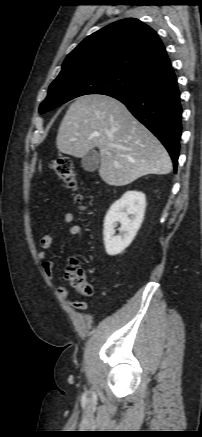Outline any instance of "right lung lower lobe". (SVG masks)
Wrapping results in <instances>:
<instances>
[{
	"mask_svg": "<svg viewBox=\"0 0 202 437\" xmlns=\"http://www.w3.org/2000/svg\"><path fill=\"white\" fill-rule=\"evenodd\" d=\"M121 101L165 146L177 170L182 106L174 70L169 67L135 92L112 96Z\"/></svg>",
	"mask_w": 202,
	"mask_h": 437,
	"instance_id": "98d812e1",
	"label": "right lung lower lobe"
}]
</instances>
